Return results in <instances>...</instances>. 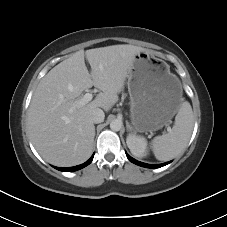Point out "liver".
<instances>
[{
    "label": "liver",
    "mask_w": 227,
    "mask_h": 227,
    "mask_svg": "<svg viewBox=\"0 0 227 227\" xmlns=\"http://www.w3.org/2000/svg\"><path fill=\"white\" fill-rule=\"evenodd\" d=\"M134 45H112L75 52L39 82L28 110L31 141L41 157L57 166H74L92 154L94 109L109 111L118 101L136 54ZM91 66L88 72L84 58ZM101 92L83 106L77 105L84 90Z\"/></svg>",
    "instance_id": "6515ba94"
}]
</instances>
